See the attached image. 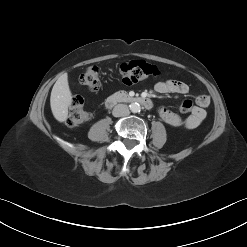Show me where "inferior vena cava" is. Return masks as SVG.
Returning a JSON list of instances; mask_svg holds the SVG:
<instances>
[{"label":"inferior vena cava","mask_w":247,"mask_h":247,"mask_svg":"<svg viewBox=\"0 0 247 247\" xmlns=\"http://www.w3.org/2000/svg\"><path fill=\"white\" fill-rule=\"evenodd\" d=\"M112 114L115 117H124L128 116L130 114V111L127 105L118 104L114 107Z\"/></svg>","instance_id":"1"}]
</instances>
